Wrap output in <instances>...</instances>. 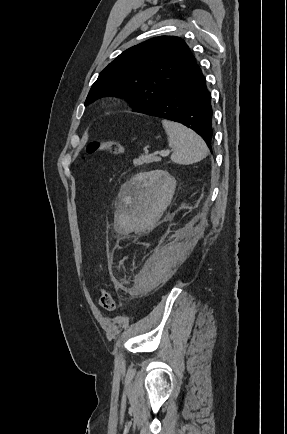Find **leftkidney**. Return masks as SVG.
Here are the masks:
<instances>
[{"label":"left kidney","instance_id":"5707ae66","mask_svg":"<svg viewBox=\"0 0 287 434\" xmlns=\"http://www.w3.org/2000/svg\"><path fill=\"white\" fill-rule=\"evenodd\" d=\"M175 188L176 180L167 171L139 173L125 185L123 203L129 216L137 215V220L138 217L142 220L159 218L154 212L168 206Z\"/></svg>","mask_w":287,"mask_h":434}]
</instances>
